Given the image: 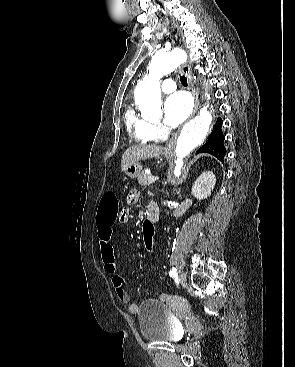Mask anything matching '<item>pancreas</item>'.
Returning <instances> with one entry per match:
<instances>
[{
	"label": "pancreas",
	"mask_w": 295,
	"mask_h": 367,
	"mask_svg": "<svg viewBox=\"0 0 295 367\" xmlns=\"http://www.w3.org/2000/svg\"><path fill=\"white\" fill-rule=\"evenodd\" d=\"M152 175L151 174H146L144 172H142L139 176H138V184L142 185V186H148L151 183L149 182V179Z\"/></svg>",
	"instance_id": "1"
}]
</instances>
